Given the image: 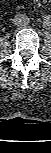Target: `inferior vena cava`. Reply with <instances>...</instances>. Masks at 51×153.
<instances>
[{
  "mask_svg": "<svg viewBox=\"0 0 51 153\" xmlns=\"http://www.w3.org/2000/svg\"><path fill=\"white\" fill-rule=\"evenodd\" d=\"M13 23L16 26H26L29 23V18L27 15L19 13L13 18Z\"/></svg>",
  "mask_w": 51,
  "mask_h": 153,
  "instance_id": "1",
  "label": "inferior vena cava"
}]
</instances>
